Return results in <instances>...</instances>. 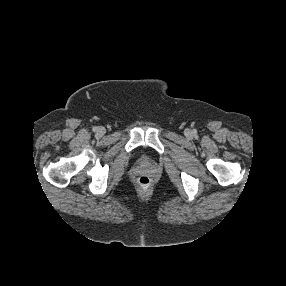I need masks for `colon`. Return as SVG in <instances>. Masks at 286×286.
Wrapping results in <instances>:
<instances>
[{"label": "colon", "instance_id": "5ec220e1", "mask_svg": "<svg viewBox=\"0 0 286 286\" xmlns=\"http://www.w3.org/2000/svg\"><path fill=\"white\" fill-rule=\"evenodd\" d=\"M138 183L142 187H149L151 184V179L148 176H141L138 179Z\"/></svg>", "mask_w": 286, "mask_h": 286}]
</instances>
